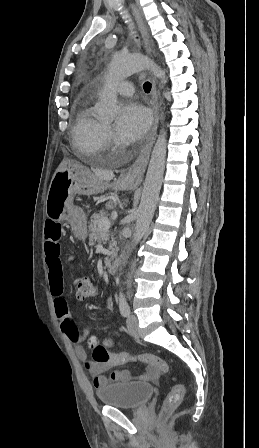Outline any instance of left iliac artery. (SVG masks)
Returning <instances> with one entry per match:
<instances>
[{
  "mask_svg": "<svg viewBox=\"0 0 259 448\" xmlns=\"http://www.w3.org/2000/svg\"><path fill=\"white\" fill-rule=\"evenodd\" d=\"M119 310L124 317H127L130 314V307L123 292H120L119 294Z\"/></svg>",
  "mask_w": 259,
  "mask_h": 448,
  "instance_id": "left-iliac-artery-1",
  "label": "left iliac artery"
}]
</instances>
